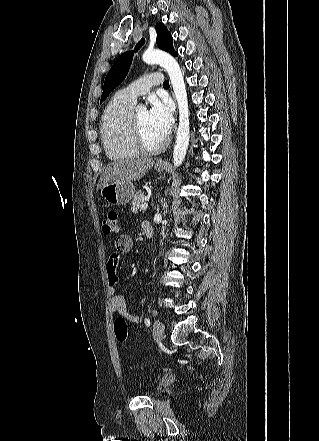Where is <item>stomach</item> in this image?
I'll use <instances>...</instances> for the list:
<instances>
[{
	"mask_svg": "<svg viewBox=\"0 0 319 441\" xmlns=\"http://www.w3.org/2000/svg\"><path fill=\"white\" fill-rule=\"evenodd\" d=\"M158 172H163L164 167L155 166ZM135 194L132 183H111L101 188V196L105 202L113 206L125 205L131 201Z\"/></svg>",
	"mask_w": 319,
	"mask_h": 441,
	"instance_id": "0dacf381",
	"label": "stomach"
}]
</instances>
